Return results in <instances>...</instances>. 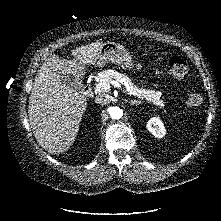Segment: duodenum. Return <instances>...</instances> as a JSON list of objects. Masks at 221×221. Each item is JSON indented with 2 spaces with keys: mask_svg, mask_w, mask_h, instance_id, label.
<instances>
[{
  "mask_svg": "<svg viewBox=\"0 0 221 221\" xmlns=\"http://www.w3.org/2000/svg\"><path fill=\"white\" fill-rule=\"evenodd\" d=\"M86 93L88 94V95H91L92 94V90H91V87H87L86 88Z\"/></svg>",
  "mask_w": 221,
  "mask_h": 221,
  "instance_id": "obj_1",
  "label": "duodenum"
}]
</instances>
